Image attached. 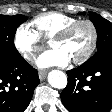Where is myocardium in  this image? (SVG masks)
Here are the masks:
<instances>
[{
	"mask_svg": "<svg viewBox=\"0 0 112 112\" xmlns=\"http://www.w3.org/2000/svg\"><path fill=\"white\" fill-rule=\"evenodd\" d=\"M85 24L89 27L90 31H91V40H90V44L87 48V50L84 52V54L76 59H73L72 62L74 64H82L84 62H86L91 55L93 54V52L96 49L97 46V42H98V30L96 25L89 19H79L76 20L72 23H70L69 25L65 26L64 28H62L59 32H57L52 38L51 41L53 40H63L65 38H67L70 33L79 25Z\"/></svg>",
	"mask_w": 112,
	"mask_h": 112,
	"instance_id": "1",
	"label": "myocardium"
}]
</instances>
